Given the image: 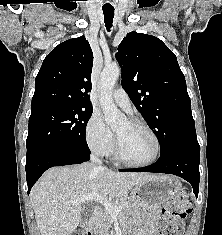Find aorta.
<instances>
[{"label": "aorta", "mask_w": 222, "mask_h": 235, "mask_svg": "<svg viewBox=\"0 0 222 235\" xmlns=\"http://www.w3.org/2000/svg\"><path fill=\"white\" fill-rule=\"evenodd\" d=\"M121 70L117 65L105 66L99 81V101L105 115V121L110 126H116L124 120V115L117 109L113 101V88L120 76Z\"/></svg>", "instance_id": "762f6f07"}]
</instances>
